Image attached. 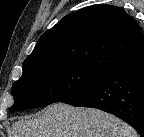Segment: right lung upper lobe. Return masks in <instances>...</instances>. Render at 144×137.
Masks as SVG:
<instances>
[{"mask_svg": "<svg viewBox=\"0 0 144 137\" xmlns=\"http://www.w3.org/2000/svg\"><path fill=\"white\" fill-rule=\"evenodd\" d=\"M144 54V33L124 10L90 6L45 32L23 66L77 63L106 73Z\"/></svg>", "mask_w": 144, "mask_h": 137, "instance_id": "1", "label": "right lung upper lobe"}]
</instances>
